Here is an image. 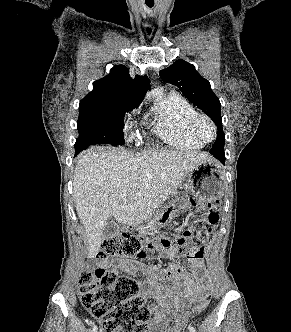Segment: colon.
<instances>
[{
	"instance_id": "obj_1",
	"label": "colon",
	"mask_w": 291,
	"mask_h": 332,
	"mask_svg": "<svg viewBox=\"0 0 291 332\" xmlns=\"http://www.w3.org/2000/svg\"><path fill=\"white\" fill-rule=\"evenodd\" d=\"M207 224L198 232V239H206L219 220V215L210 207L204 212ZM186 237L192 234L184 233ZM167 246V240H161ZM154 243L136 234L118 233L104 240L98 258L108 256H124L145 258L147 251L154 248ZM179 253H183L179 250ZM198 255L192 249L187 255ZM82 305L96 318L101 319L104 332H149L148 321L150 312L145 306V299L140 294V287L134 279L121 276L114 271L97 268L82 272L78 281ZM208 305L206 297L201 298L191 312L184 313L173 319L170 332H181L189 315L202 312Z\"/></svg>"
}]
</instances>
